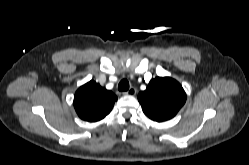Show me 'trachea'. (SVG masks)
I'll return each instance as SVG.
<instances>
[{
	"label": "trachea",
	"instance_id": "1",
	"mask_svg": "<svg viewBox=\"0 0 249 165\" xmlns=\"http://www.w3.org/2000/svg\"><path fill=\"white\" fill-rule=\"evenodd\" d=\"M118 90L123 92V91H128L129 90V82L126 79H123L120 81L118 84Z\"/></svg>",
	"mask_w": 249,
	"mask_h": 165
}]
</instances>
